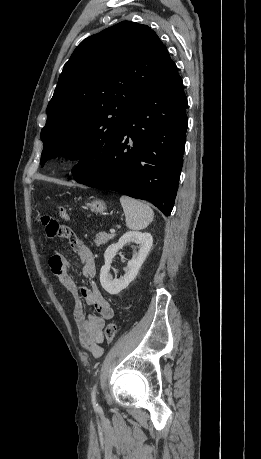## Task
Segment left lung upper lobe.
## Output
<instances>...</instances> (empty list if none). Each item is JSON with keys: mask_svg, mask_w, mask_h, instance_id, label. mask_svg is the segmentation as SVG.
<instances>
[{"mask_svg": "<svg viewBox=\"0 0 261 459\" xmlns=\"http://www.w3.org/2000/svg\"><path fill=\"white\" fill-rule=\"evenodd\" d=\"M175 63L147 25L123 21L83 40L64 65L41 131V166L59 155L94 172L137 105Z\"/></svg>", "mask_w": 261, "mask_h": 459, "instance_id": "5c2ea615", "label": "left lung upper lobe"}]
</instances>
